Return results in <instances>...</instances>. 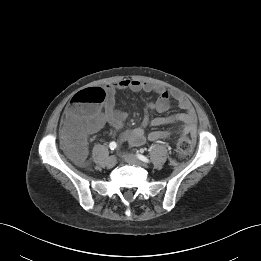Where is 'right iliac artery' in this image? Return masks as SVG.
Masks as SVG:
<instances>
[{
    "label": "right iliac artery",
    "mask_w": 261,
    "mask_h": 261,
    "mask_svg": "<svg viewBox=\"0 0 261 261\" xmlns=\"http://www.w3.org/2000/svg\"><path fill=\"white\" fill-rule=\"evenodd\" d=\"M109 147H110V149L111 150H114V149H116V147H117V144H116V142H111L110 144H109Z\"/></svg>",
    "instance_id": "obj_1"
}]
</instances>
